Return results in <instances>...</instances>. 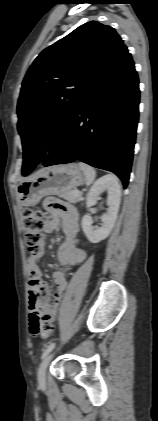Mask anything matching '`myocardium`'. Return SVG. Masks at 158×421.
Segmentation results:
<instances>
[{
  "label": "myocardium",
  "mask_w": 158,
  "mask_h": 421,
  "mask_svg": "<svg viewBox=\"0 0 158 421\" xmlns=\"http://www.w3.org/2000/svg\"><path fill=\"white\" fill-rule=\"evenodd\" d=\"M51 149V138L46 135L43 136L35 145V152L37 154H46Z\"/></svg>",
  "instance_id": "1"
}]
</instances>
